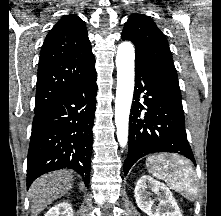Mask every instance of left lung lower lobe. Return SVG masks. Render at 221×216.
I'll list each match as a JSON object with an SVG mask.
<instances>
[{
	"label": "left lung lower lobe",
	"mask_w": 221,
	"mask_h": 216,
	"mask_svg": "<svg viewBox=\"0 0 221 216\" xmlns=\"http://www.w3.org/2000/svg\"><path fill=\"white\" fill-rule=\"evenodd\" d=\"M143 92L146 108L139 102ZM133 99L124 174L127 175L139 158L155 152L178 153L195 164L185 131L182 103L177 100L170 82L160 72L135 61Z\"/></svg>",
	"instance_id": "left-lung-lower-lobe-1"
}]
</instances>
